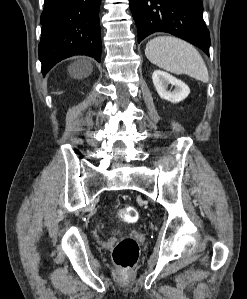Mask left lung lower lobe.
I'll list each match as a JSON object with an SVG mask.
<instances>
[{
    "label": "left lung lower lobe",
    "instance_id": "0a47b994",
    "mask_svg": "<svg viewBox=\"0 0 247 299\" xmlns=\"http://www.w3.org/2000/svg\"><path fill=\"white\" fill-rule=\"evenodd\" d=\"M138 42L155 32L171 33L209 56L210 34L203 20L202 0H130Z\"/></svg>",
    "mask_w": 247,
    "mask_h": 299
}]
</instances>
